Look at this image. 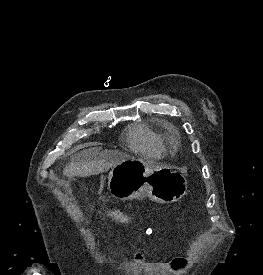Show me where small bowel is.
<instances>
[{
    "instance_id": "c3829d8e",
    "label": "small bowel",
    "mask_w": 263,
    "mask_h": 275,
    "mask_svg": "<svg viewBox=\"0 0 263 275\" xmlns=\"http://www.w3.org/2000/svg\"><path fill=\"white\" fill-rule=\"evenodd\" d=\"M144 260V255L141 252H136L135 261L136 263H141Z\"/></svg>"
}]
</instances>
